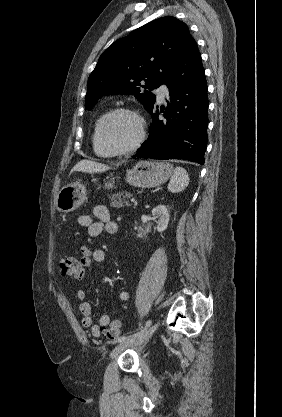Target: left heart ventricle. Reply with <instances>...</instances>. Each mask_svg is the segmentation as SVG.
<instances>
[{"mask_svg": "<svg viewBox=\"0 0 282 417\" xmlns=\"http://www.w3.org/2000/svg\"><path fill=\"white\" fill-rule=\"evenodd\" d=\"M108 142L114 147L131 143L138 135L135 119L121 115L113 119L108 128Z\"/></svg>", "mask_w": 282, "mask_h": 417, "instance_id": "obj_1", "label": "left heart ventricle"}]
</instances>
